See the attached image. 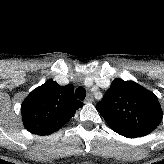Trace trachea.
I'll return each instance as SVG.
<instances>
[{"label": "trachea", "instance_id": "1", "mask_svg": "<svg viewBox=\"0 0 164 164\" xmlns=\"http://www.w3.org/2000/svg\"><path fill=\"white\" fill-rule=\"evenodd\" d=\"M76 97L80 100H84L86 97V90L83 87H78L75 91Z\"/></svg>", "mask_w": 164, "mask_h": 164}]
</instances>
